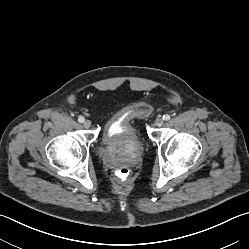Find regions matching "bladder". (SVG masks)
<instances>
[{
    "mask_svg": "<svg viewBox=\"0 0 249 249\" xmlns=\"http://www.w3.org/2000/svg\"><path fill=\"white\" fill-rule=\"evenodd\" d=\"M150 113V107L144 102H135L124 107L112 116L105 124L102 143L106 149H114L126 143H134L143 147L136 122L145 120Z\"/></svg>",
    "mask_w": 249,
    "mask_h": 249,
    "instance_id": "1",
    "label": "bladder"
}]
</instances>
